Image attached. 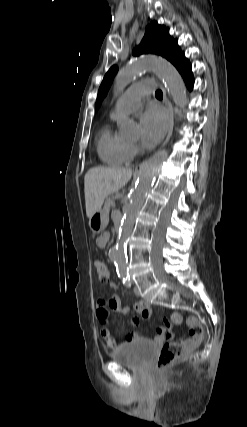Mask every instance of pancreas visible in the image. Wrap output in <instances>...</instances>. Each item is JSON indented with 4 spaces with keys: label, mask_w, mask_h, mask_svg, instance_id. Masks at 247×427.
Instances as JSON below:
<instances>
[{
    "label": "pancreas",
    "mask_w": 247,
    "mask_h": 427,
    "mask_svg": "<svg viewBox=\"0 0 247 427\" xmlns=\"http://www.w3.org/2000/svg\"><path fill=\"white\" fill-rule=\"evenodd\" d=\"M113 202L114 200L112 197H107L105 200L103 211L108 213L110 211V207L113 206Z\"/></svg>",
    "instance_id": "obj_1"
}]
</instances>
